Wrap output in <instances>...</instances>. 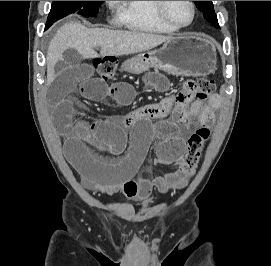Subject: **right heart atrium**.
Here are the masks:
<instances>
[{"label":"right heart atrium","instance_id":"right-heart-atrium-1","mask_svg":"<svg viewBox=\"0 0 271 266\" xmlns=\"http://www.w3.org/2000/svg\"><path fill=\"white\" fill-rule=\"evenodd\" d=\"M106 2L110 7H115L117 4V1H106Z\"/></svg>","mask_w":271,"mask_h":266}]
</instances>
